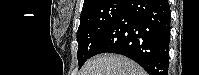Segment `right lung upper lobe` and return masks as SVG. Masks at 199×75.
Here are the masks:
<instances>
[{
    "mask_svg": "<svg viewBox=\"0 0 199 75\" xmlns=\"http://www.w3.org/2000/svg\"><path fill=\"white\" fill-rule=\"evenodd\" d=\"M103 1L105 0H84L83 9L98 5Z\"/></svg>",
    "mask_w": 199,
    "mask_h": 75,
    "instance_id": "cb5924a9",
    "label": "right lung upper lobe"
}]
</instances>
